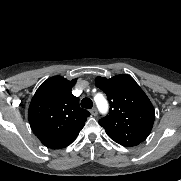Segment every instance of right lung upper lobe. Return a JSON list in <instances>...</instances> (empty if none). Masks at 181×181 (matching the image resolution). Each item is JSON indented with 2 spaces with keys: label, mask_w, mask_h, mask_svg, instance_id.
Segmentation results:
<instances>
[{
  "label": "right lung upper lobe",
  "mask_w": 181,
  "mask_h": 181,
  "mask_svg": "<svg viewBox=\"0 0 181 181\" xmlns=\"http://www.w3.org/2000/svg\"><path fill=\"white\" fill-rule=\"evenodd\" d=\"M77 79L53 76L34 94L28 120L33 133L48 148L61 149L71 144L84 127L90 113L81 109L71 90Z\"/></svg>",
  "instance_id": "right-lung-upper-lobe-1"
}]
</instances>
